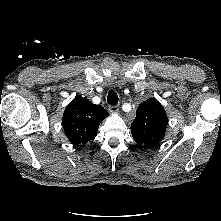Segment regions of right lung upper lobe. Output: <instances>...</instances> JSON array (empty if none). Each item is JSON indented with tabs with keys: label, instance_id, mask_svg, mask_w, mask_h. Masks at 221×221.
Instances as JSON below:
<instances>
[{
	"label": "right lung upper lobe",
	"instance_id": "1",
	"mask_svg": "<svg viewBox=\"0 0 221 221\" xmlns=\"http://www.w3.org/2000/svg\"><path fill=\"white\" fill-rule=\"evenodd\" d=\"M108 115L103 107L78 95L64 111L62 123L65 134L73 145L87 143L96 137L99 124Z\"/></svg>",
	"mask_w": 221,
	"mask_h": 221
}]
</instances>
